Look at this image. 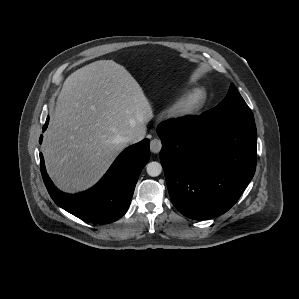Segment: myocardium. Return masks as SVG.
I'll return each mask as SVG.
<instances>
[{
  "label": "myocardium",
  "mask_w": 299,
  "mask_h": 299,
  "mask_svg": "<svg viewBox=\"0 0 299 299\" xmlns=\"http://www.w3.org/2000/svg\"><path fill=\"white\" fill-rule=\"evenodd\" d=\"M206 93L202 89H194L186 94L174 109L176 117L185 118L195 114L204 104Z\"/></svg>",
  "instance_id": "1"
}]
</instances>
